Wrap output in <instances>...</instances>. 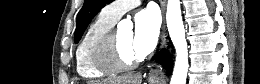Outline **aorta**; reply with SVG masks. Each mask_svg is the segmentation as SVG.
<instances>
[{
  "instance_id": "762f6f07",
  "label": "aorta",
  "mask_w": 260,
  "mask_h": 84,
  "mask_svg": "<svg viewBox=\"0 0 260 84\" xmlns=\"http://www.w3.org/2000/svg\"><path fill=\"white\" fill-rule=\"evenodd\" d=\"M166 21L170 38L176 50V59L170 84H185L188 72V47L185 38L180 0H168Z\"/></svg>"
}]
</instances>
